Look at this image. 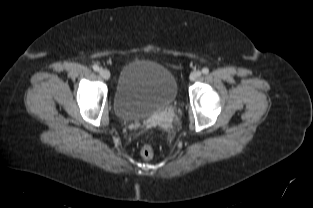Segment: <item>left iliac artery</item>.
<instances>
[{
  "instance_id": "left-iliac-artery-1",
  "label": "left iliac artery",
  "mask_w": 313,
  "mask_h": 208,
  "mask_svg": "<svg viewBox=\"0 0 313 208\" xmlns=\"http://www.w3.org/2000/svg\"><path fill=\"white\" fill-rule=\"evenodd\" d=\"M202 73L203 74H208L209 73V69L207 67L202 69Z\"/></svg>"
}]
</instances>
